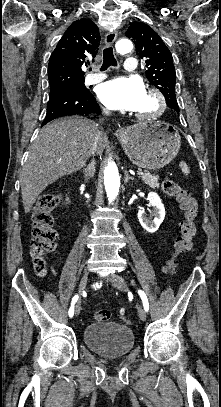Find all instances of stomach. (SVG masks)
I'll return each mask as SVG.
<instances>
[{"label": "stomach", "instance_id": "stomach-1", "mask_svg": "<svg viewBox=\"0 0 221 407\" xmlns=\"http://www.w3.org/2000/svg\"><path fill=\"white\" fill-rule=\"evenodd\" d=\"M127 157L138 167L157 170L178 154L181 137L176 128L165 122L138 123L119 136Z\"/></svg>", "mask_w": 221, "mask_h": 407}]
</instances>
